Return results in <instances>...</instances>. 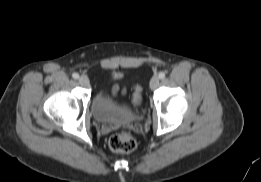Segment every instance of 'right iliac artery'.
I'll return each instance as SVG.
<instances>
[{
  "instance_id": "82829eb1",
  "label": "right iliac artery",
  "mask_w": 261,
  "mask_h": 182,
  "mask_svg": "<svg viewBox=\"0 0 261 182\" xmlns=\"http://www.w3.org/2000/svg\"><path fill=\"white\" fill-rule=\"evenodd\" d=\"M72 77H73L74 79H78V78H79V74H78V73H73V74H72Z\"/></svg>"
}]
</instances>
